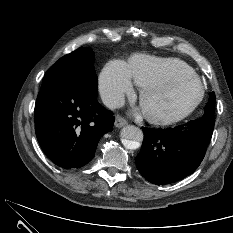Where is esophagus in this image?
Wrapping results in <instances>:
<instances>
[{
  "instance_id": "1",
  "label": "esophagus",
  "mask_w": 233,
  "mask_h": 233,
  "mask_svg": "<svg viewBox=\"0 0 233 233\" xmlns=\"http://www.w3.org/2000/svg\"><path fill=\"white\" fill-rule=\"evenodd\" d=\"M126 124H127V121L122 116L117 115L115 117V122H114L115 127L120 128Z\"/></svg>"
}]
</instances>
